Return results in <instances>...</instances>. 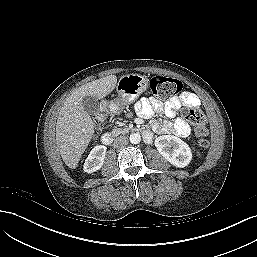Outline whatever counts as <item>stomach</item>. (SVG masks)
Segmentation results:
<instances>
[{
	"mask_svg": "<svg viewBox=\"0 0 257 257\" xmlns=\"http://www.w3.org/2000/svg\"><path fill=\"white\" fill-rule=\"evenodd\" d=\"M148 87V79L138 74H127L120 78L117 92L124 103L133 102Z\"/></svg>",
	"mask_w": 257,
	"mask_h": 257,
	"instance_id": "stomach-1",
	"label": "stomach"
}]
</instances>
